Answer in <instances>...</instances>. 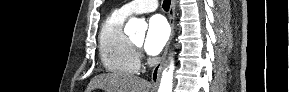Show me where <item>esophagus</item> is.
Instances as JSON below:
<instances>
[{"label":"esophagus","mask_w":289,"mask_h":92,"mask_svg":"<svg viewBox=\"0 0 289 92\" xmlns=\"http://www.w3.org/2000/svg\"><path fill=\"white\" fill-rule=\"evenodd\" d=\"M175 5H176V1L175 0H171V5H170V10H169V23L171 26V35L169 38V41L165 47L164 53L160 59V61L156 64V66L154 67L153 71H152V76H151V82L154 88H156L158 86L159 80H160V75H161V71L167 56V52L173 37V33H174V21H175Z\"/></svg>","instance_id":"obj_1"}]
</instances>
